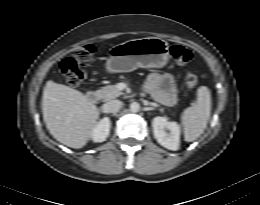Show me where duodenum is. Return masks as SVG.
<instances>
[{
	"label": "duodenum",
	"mask_w": 260,
	"mask_h": 205,
	"mask_svg": "<svg viewBox=\"0 0 260 205\" xmlns=\"http://www.w3.org/2000/svg\"><path fill=\"white\" fill-rule=\"evenodd\" d=\"M86 98L90 103H96L99 99V94L94 90H90L86 93Z\"/></svg>",
	"instance_id": "duodenum-1"
}]
</instances>
